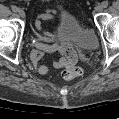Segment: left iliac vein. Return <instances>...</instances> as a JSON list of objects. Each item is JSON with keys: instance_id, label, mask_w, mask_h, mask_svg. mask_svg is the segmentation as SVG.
I'll list each match as a JSON object with an SVG mask.
<instances>
[{"instance_id": "left-iliac-vein-1", "label": "left iliac vein", "mask_w": 119, "mask_h": 119, "mask_svg": "<svg viewBox=\"0 0 119 119\" xmlns=\"http://www.w3.org/2000/svg\"><path fill=\"white\" fill-rule=\"evenodd\" d=\"M95 10H96V12H101V11H103V6L99 4L95 7Z\"/></svg>"}]
</instances>
